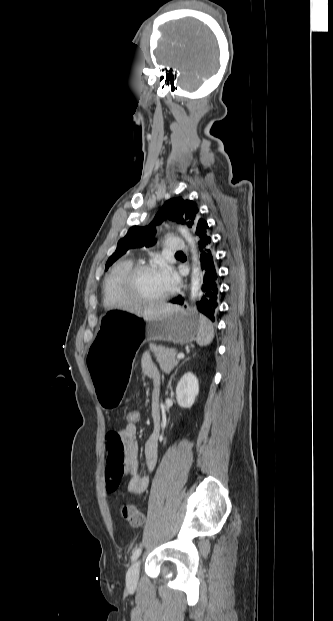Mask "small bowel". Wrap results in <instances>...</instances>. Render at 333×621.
I'll return each instance as SVG.
<instances>
[{
    "label": "small bowel",
    "mask_w": 333,
    "mask_h": 621,
    "mask_svg": "<svg viewBox=\"0 0 333 621\" xmlns=\"http://www.w3.org/2000/svg\"><path fill=\"white\" fill-rule=\"evenodd\" d=\"M141 370L153 383L151 414L154 422L159 423V371L150 355L145 354L142 356ZM136 430V425L126 423L119 430L112 431L106 436L105 479L107 490L110 493H114L119 489L121 480L125 475L129 477L127 488L132 495H143L148 488L149 476L138 473L139 447L136 440ZM143 452L146 467L148 470H152L158 459L157 431H154L145 442Z\"/></svg>",
    "instance_id": "small-bowel-1"
}]
</instances>
